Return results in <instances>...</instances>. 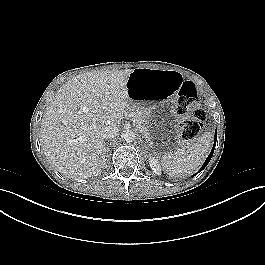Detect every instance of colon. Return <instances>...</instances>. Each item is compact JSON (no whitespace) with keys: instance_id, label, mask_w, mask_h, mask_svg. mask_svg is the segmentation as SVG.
<instances>
[{"instance_id":"obj_1","label":"colon","mask_w":265,"mask_h":265,"mask_svg":"<svg viewBox=\"0 0 265 265\" xmlns=\"http://www.w3.org/2000/svg\"><path fill=\"white\" fill-rule=\"evenodd\" d=\"M176 112L180 116H185L181 123L182 137L185 140L194 139L201 130L206 113L199 106L198 92L191 82H184L181 85Z\"/></svg>"}]
</instances>
